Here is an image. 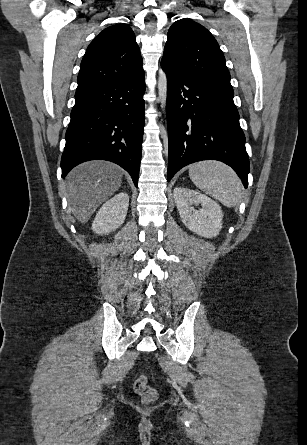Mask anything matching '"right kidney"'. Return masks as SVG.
Segmentation results:
<instances>
[{"instance_id": "right-kidney-1", "label": "right kidney", "mask_w": 307, "mask_h": 445, "mask_svg": "<svg viewBox=\"0 0 307 445\" xmlns=\"http://www.w3.org/2000/svg\"><path fill=\"white\" fill-rule=\"evenodd\" d=\"M129 206L127 192H118L113 198L107 200L98 210L93 223L92 231L96 235H108L123 225Z\"/></svg>"}]
</instances>
